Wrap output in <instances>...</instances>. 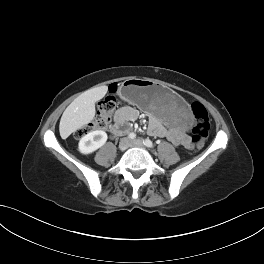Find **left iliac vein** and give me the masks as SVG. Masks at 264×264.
Returning a JSON list of instances; mask_svg holds the SVG:
<instances>
[{
    "mask_svg": "<svg viewBox=\"0 0 264 264\" xmlns=\"http://www.w3.org/2000/svg\"><path fill=\"white\" fill-rule=\"evenodd\" d=\"M130 146L143 148L144 147V144H143L142 140L137 139V140L131 141L130 142Z\"/></svg>",
    "mask_w": 264,
    "mask_h": 264,
    "instance_id": "4c4485c4",
    "label": "left iliac vein"
}]
</instances>
